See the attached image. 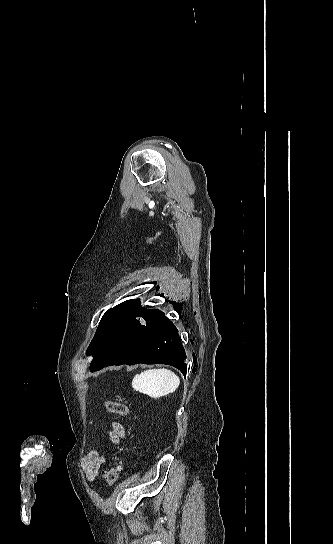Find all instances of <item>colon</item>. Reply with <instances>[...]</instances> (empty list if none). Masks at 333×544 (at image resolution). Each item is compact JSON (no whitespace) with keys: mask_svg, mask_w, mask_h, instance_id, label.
Returning a JSON list of instances; mask_svg holds the SVG:
<instances>
[{"mask_svg":"<svg viewBox=\"0 0 333 544\" xmlns=\"http://www.w3.org/2000/svg\"><path fill=\"white\" fill-rule=\"evenodd\" d=\"M104 406L110 413L117 414L119 416L125 417L130 413V408L123 403L115 402L112 400H105ZM123 471V462L121 460H115L111 467L104 473V478L109 486L115 485L122 474Z\"/></svg>","mask_w":333,"mask_h":544,"instance_id":"5ec220e1","label":"colon"}]
</instances>
